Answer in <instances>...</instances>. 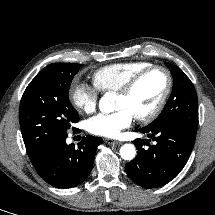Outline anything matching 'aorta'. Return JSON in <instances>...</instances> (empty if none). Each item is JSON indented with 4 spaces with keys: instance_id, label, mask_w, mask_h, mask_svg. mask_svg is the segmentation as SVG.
<instances>
[{
    "instance_id": "762f6f07",
    "label": "aorta",
    "mask_w": 215,
    "mask_h": 215,
    "mask_svg": "<svg viewBox=\"0 0 215 215\" xmlns=\"http://www.w3.org/2000/svg\"><path fill=\"white\" fill-rule=\"evenodd\" d=\"M99 108L104 113H110L114 111L113 94L106 93L99 102ZM136 155V149L132 144H124L120 148V156L124 160H132Z\"/></svg>"
}]
</instances>
